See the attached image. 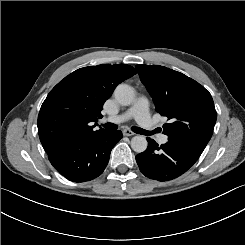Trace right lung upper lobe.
Segmentation results:
<instances>
[{
	"label": "right lung upper lobe",
	"instance_id": "obj_1",
	"mask_svg": "<svg viewBox=\"0 0 245 245\" xmlns=\"http://www.w3.org/2000/svg\"><path fill=\"white\" fill-rule=\"evenodd\" d=\"M136 74L129 65L102 64L80 68L61 80L48 94L38 115V132L49 153L65 142L90 136L91 122L101 117L104 102L114 88Z\"/></svg>",
	"mask_w": 245,
	"mask_h": 245
}]
</instances>
